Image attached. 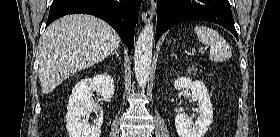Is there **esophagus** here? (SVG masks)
<instances>
[{"instance_id":"34e87169","label":"esophagus","mask_w":280,"mask_h":137,"mask_svg":"<svg viewBox=\"0 0 280 137\" xmlns=\"http://www.w3.org/2000/svg\"><path fill=\"white\" fill-rule=\"evenodd\" d=\"M150 8L147 11H144L141 15L142 21L149 22L152 20L154 14H155V1L150 0Z\"/></svg>"}]
</instances>
